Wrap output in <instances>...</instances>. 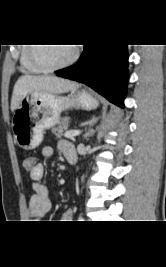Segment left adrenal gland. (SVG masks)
<instances>
[{
	"label": "left adrenal gland",
	"mask_w": 166,
	"mask_h": 267,
	"mask_svg": "<svg viewBox=\"0 0 166 267\" xmlns=\"http://www.w3.org/2000/svg\"><path fill=\"white\" fill-rule=\"evenodd\" d=\"M96 122V120H94V123ZM92 135V131H89L88 133H87V136H91Z\"/></svg>",
	"instance_id": "left-adrenal-gland-1"
}]
</instances>
